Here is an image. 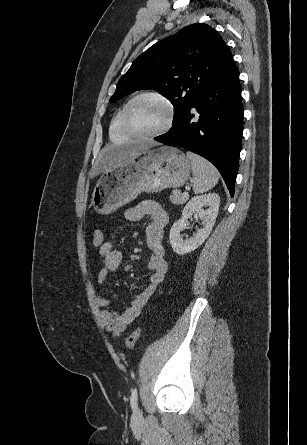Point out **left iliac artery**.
<instances>
[{
	"label": "left iliac artery",
	"instance_id": "44dca946",
	"mask_svg": "<svg viewBox=\"0 0 307 445\" xmlns=\"http://www.w3.org/2000/svg\"><path fill=\"white\" fill-rule=\"evenodd\" d=\"M137 398H138L137 389L135 388V389H133L131 397H130V404H131V408L133 410H135L137 407Z\"/></svg>",
	"mask_w": 307,
	"mask_h": 445
}]
</instances>
